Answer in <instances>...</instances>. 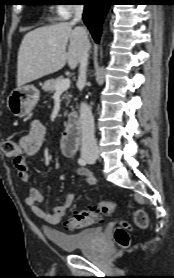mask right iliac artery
Returning <instances> with one entry per match:
<instances>
[{"label": "right iliac artery", "instance_id": "right-iliac-artery-1", "mask_svg": "<svg viewBox=\"0 0 174 278\" xmlns=\"http://www.w3.org/2000/svg\"><path fill=\"white\" fill-rule=\"evenodd\" d=\"M78 163L81 165V166H85L87 164V160L84 158V157H80L78 159Z\"/></svg>", "mask_w": 174, "mask_h": 278}]
</instances>
